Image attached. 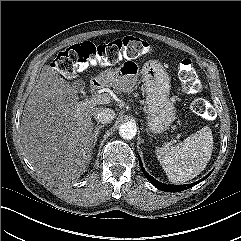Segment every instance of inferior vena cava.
Wrapping results in <instances>:
<instances>
[{
    "label": "inferior vena cava",
    "mask_w": 241,
    "mask_h": 241,
    "mask_svg": "<svg viewBox=\"0 0 241 241\" xmlns=\"http://www.w3.org/2000/svg\"><path fill=\"white\" fill-rule=\"evenodd\" d=\"M93 116L99 123H110L115 117V111L110 108H98L93 113Z\"/></svg>",
    "instance_id": "inferior-vena-cava-1"
}]
</instances>
